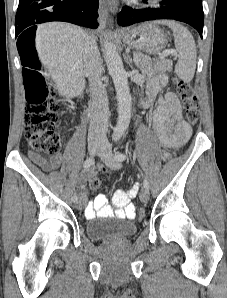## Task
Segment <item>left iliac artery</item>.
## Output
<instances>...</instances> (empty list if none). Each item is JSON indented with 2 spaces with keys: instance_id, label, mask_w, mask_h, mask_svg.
<instances>
[{
  "instance_id": "1",
  "label": "left iliac artery",
  "mask_w": 227,
  "mask_h": 298,
  "mask_svg": "<svg viewBox=\"0 0 227 298\" xmlns=\"http://www.w3.org/2000/svg\"><path fill=\"white\" fill-rule=\"evenodd\" d=\"M115 158L118 161H124L126 159V155L124 153L117 152L116 155H115ZM143 186H144V188L149 189L148 180L144 179Z\"/></svg>"
}]
</instances>
